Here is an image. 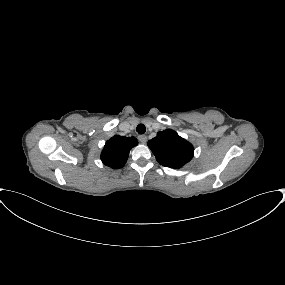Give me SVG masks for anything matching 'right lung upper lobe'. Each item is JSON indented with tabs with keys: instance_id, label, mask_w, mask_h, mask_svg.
Masks as SVG:
<instances>
[{
	"instance_id": "obj_1",
	"label": "right lung upper lobe",
	"mask_w": 285,
	"mask_h": 285,
	"mask_svg": "<svg viewBox=\"0 0 285 285\" xmlns=\"http://www.w3.org/2000/svg\"><path fill=\"white\" fill-rule=\"evenodd\" d=\"M137 144L138 141L135 137L115 135L106 142L101 153V160L113 169L121 168L127 161L130 149Z\"/></svg>"
}]
</instances>
